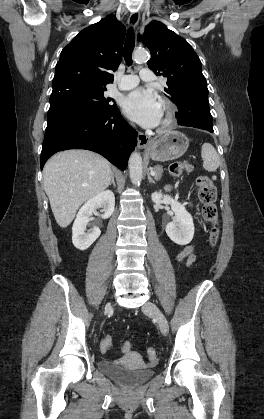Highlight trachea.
Returning a JSON list of instances; mask_svg holds the SVG:
<instances>
[{"instance_id":"3493384b","label":"trachea","mask_w":264,"mask_h":419,"mask_svg":"<svg viewBox=\"0 0 264 419\" xmlns=\"http://www.w3.org/2000/svg\"><path fill=\"white\" fill-rule=\"evenodd\" d=\"M135 46V37L134 30L130 28L126 35L125 45H124V59L127 65L132 63V52Z\"/></svg>"}]
</instances>
